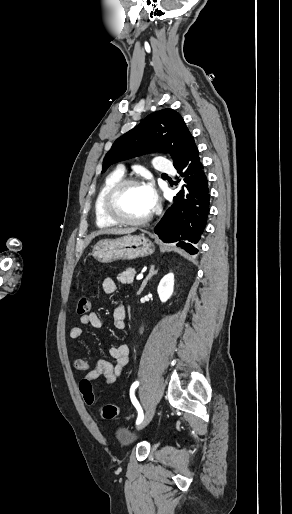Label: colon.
Wrapping results in <instances>:
<instances>
[{
  "instance_id": "colon-1",
  "label": "colon",
  "mask_w": 292,
  "mask_h": 514,
  "mask_svg": "<svg viewBox=\"0 0 292 514\" xmlns=\"http://www.w3.org/2000/svg\"><path fill=\"white\" fill-rule=\"evenodd\" d=\"M91 302L86 297L80 298L76 303V312L78 315H86L90 312ZM79 392L84 396V399L89 404L96 402L93 394V386L89 380H83L79 385ZM100 416L105 419H113L118 414V408L114 404H102L99 408Z\"/></svg>"
}]
</instances>
